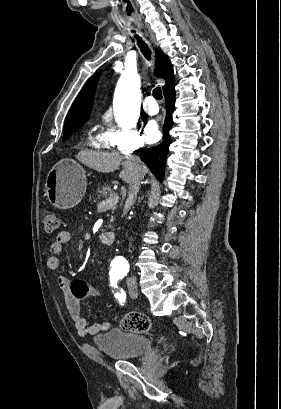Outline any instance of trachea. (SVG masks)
Masks as SVG:
<instances>
[{
	"label": "trachea",
	"instance_id": "trachea-1",
	"mask_svg": "<svg viewBox=\"0 0 281 409\" xmlns=\"http://www.w3.org/2000/svg\"><path fill=\"white\" fill-rule=\"evenodd\" d=\"M135 37H136V39L138 41V46L140 47V50L143 53V55L146 57V59H150L151 58V51L148 48L147 44L138 35H135ZM153 97L156 100H162L163 96H162V92H161L160 87L154 88Z\"/></svg>",
	"mask_w": 281,
	"mask_h": 409
}]
</instances>
